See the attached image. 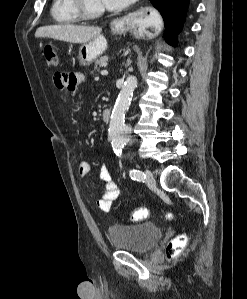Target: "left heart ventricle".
<instances>
[{
    "mask_svg": "<svg viewBox=\"0 0 247 299\" xmlns=\"http://www.w3.org/2000/svg\"><path fill=\"white\" fill-rule=\"evenodd\" d=\"M88 5L91 9H102L104 8L100 0H87Z\"/></svg>",
    "mask_w": 247,
    "mask_h": 299,
    "instance_id": "b2bd125f",
    "label": "left heart ventricle"
}]
</instances>
